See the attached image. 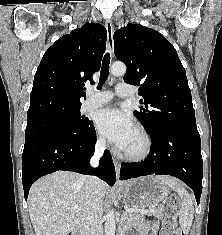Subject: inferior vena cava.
<instances>
[{"instance_id":"602c4592","label":"inferior vena cava","mask_w":222,"mask_h":235,"mask_svg":"<svg viewBox=\"0 0 222 235\" xmlns=\"http://www.w3.org/2000/svg\"><path fill=\"white\" fill-rule=\"evenodd\" d=\"M105 149V140L100 139L95 147L94 156L90 164L93 167L98 165L99 158ZM104 194L101 190V181L96 176L87 177L85 191V207L81 223L84 235H103L101 224Z\"/></svg>"}]
</instances>
